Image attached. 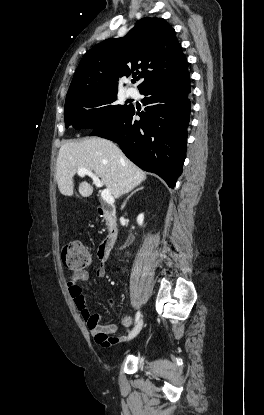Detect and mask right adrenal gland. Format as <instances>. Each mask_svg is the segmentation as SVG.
I'll return each mask as SVG.
<instances>
[{"instance_id":"right-adrenal-gland-1","label":"right adrenal gland","mask_w":264,"mask_h":415,"mask_svg":"<svg viewBox=\"0 0 264 415\" xmlns=\"http://www.w3.org/2000/svg\"><path fill=\"white\" fill-rule=\"evenodd\" d=\"M144 187H140V188H137L136 190H134L127 198H126V200L124 201V203H123V205H122V208H124L125 207V205H126V203H127V201L129 200V198H131V196H133V194H135L137 191H139V190H142Z\"/></svg>"}]
</instances>
